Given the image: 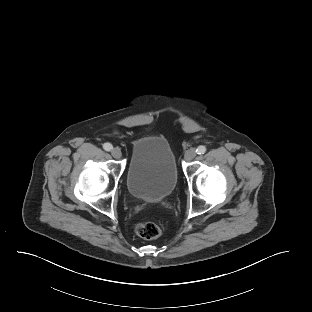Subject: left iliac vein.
I'll return each instance as SVG.
<instances>
[{"label": "left iliac vein", "instance_id": "4c4485c4", "mask_svg": "<svg viewBox=\"0 0 312 312\" xmlns=\"http://www.w3.org/2000/svg\"><path fill=\"white\" fill-rule=\"evenodd\" d=\"M195 156H196V150L194 148L187 150L184 154V158L186 161L193 160Z\"/></svg>", "mask_w": 312, "mask_h": 312}]
</instances>
